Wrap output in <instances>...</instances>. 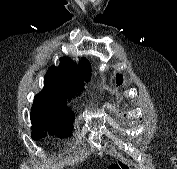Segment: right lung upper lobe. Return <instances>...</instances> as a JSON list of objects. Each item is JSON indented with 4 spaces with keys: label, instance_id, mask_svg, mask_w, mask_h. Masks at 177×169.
Instances as JSON below:
<instances>
[{
    "label": "right lung upper lobe",
    "instance_id": "obj_1",
    "mask_svg": "<svg viewBox=\"0 0 177 169\" xmlns=\"http://www.w3.org/2000/svg\"><path fill=\"white\" fill-rule=\"evenodd\" d=\"M90 80L88 60L82 58L79 65L69 58H62L58 67L48 70L44 78V89L34 98V106H49L69 102Z\"/></svg>",
    "mask_w": 177,
    "mask_h": 169
}]
</instances>
